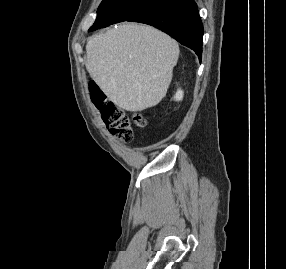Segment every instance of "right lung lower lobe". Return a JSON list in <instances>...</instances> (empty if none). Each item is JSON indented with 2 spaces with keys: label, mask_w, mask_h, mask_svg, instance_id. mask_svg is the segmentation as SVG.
Instances as JSON below:
<instances>
[{
  "label": "right lung lower lobe",
  "mask_w": 286,
  "mask_h": 269,
  "mask_svg": "<svg viewBox=\"0 0 286 269\" xmlns=\"http://www.w3.org/2000/svg\"><path fill=\"white\" fill-rule=\"evenodd\" d=\"M127 21L160 29L194 50L201 61L203 25L194 0H158Z\"/></svg>",
  "instance_id": "1"
}]
</instances>
